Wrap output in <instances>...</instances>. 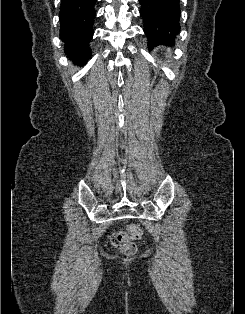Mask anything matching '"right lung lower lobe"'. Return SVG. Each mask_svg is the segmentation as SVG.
Wrapping results in <instances>:
<instances>
[{
    "mask_svg": "<svg viewBox=\"0 0 245 314\" xmlns=\"http://www.w3.org/2000/svg\"><path fill=\"white\" fill-rule=\"evenodd\" d=\"M97 0H61L60 37L64 51L82 63L90 58L89 42L93 37Z\"/></svg>",
    "mask_w": 245,
    "mask_h": 314,
    "instance_id": "98d812e1",
    "label": "right lung lower lobe"
}]
</instances>
